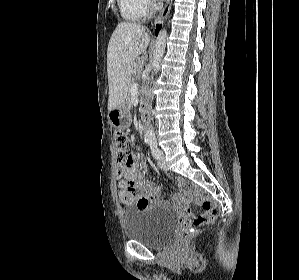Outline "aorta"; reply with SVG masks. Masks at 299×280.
<instances>
[{"mask_svg": "<svg viewBox=\"0 0 299 280\" xmlns=\"http://www.w3.org/2000/svg\"><path fill=\"white\" fill-rule=\"evenodd\" d=\"M166 38H167L166 30L160 31V33L157 37L155 50L153 53V60H152V68H153L154 73H157L160 69L161 60L164 55L165 47H166ZM145 139H148V140L155 139V134L152 129L149 128L148 130H146Z\"/></svg>", "mask_w": 299, "mask_h": 280, "instance_id": "1", "label": "aorta"}]
</instances>
